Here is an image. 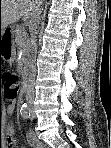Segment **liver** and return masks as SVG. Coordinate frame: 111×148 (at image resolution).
Listing matches in <instances>:
<instances>
[{
	"mask_svg": "<svg viewBox=\"0 0 111 148\" xmlns=\"http://www.w3.org/2000/svg\"><path fill=\"white\" fill-rule=\"evenodd\" d=\"M42 3V0H1L0 26L2 33L5 28L17 22L21 17L28 19Z\"/></svg>",
	"mask_w": 111,
	"mask_h": 148,
	"instance_id": "6515ba94",
	"label": "liver"
}]
</instances>
